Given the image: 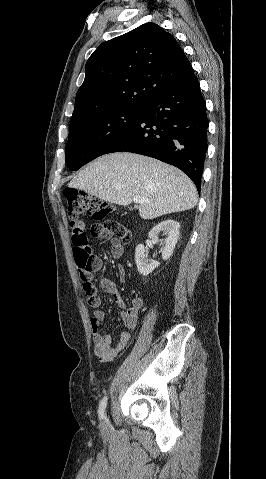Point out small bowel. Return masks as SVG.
Segmentation results:
<instances>
[{
  "mask_svg": "<svg viewBox=\"0 0 266 479\" xmlns=\"http://www.w3.org/2000/svg\"><path fill=\"white\" fill-rule=\"evenodd\" d=\"M115 246L120 247V245L115 243L113 244L112 249ZM121 252L122 250L120 249L119 254H121ZM102 266L103 259L97 255L94 256L92 258V270L98 271ZM118 272L120 279L124 280L125 272L121 265L118 266ZM101 286L106 293L112 296L115 304L119 307L118 315L123 321L125 327L130 330H135L139 323V313L143 306V300L140 297H135L132 299L131 304L126 306L122 295L115 289L111 281L108 279H102ZM101 304L102 297L98 295L96 304L92 305L95 310L90 319V326L93 332L94 354L101 362L107 363L115 359L121 351L125 349L130 341L131 335L129 332H122L117 343L112 345V335L100 331L101 323L106 317V313L99 308Z\"/></svg>",
  "mask_w": 266,
  "mask_h": 479,
  "instance_id": "small-bowel-1",
  "label": "small bowel"
}]
</instances>
